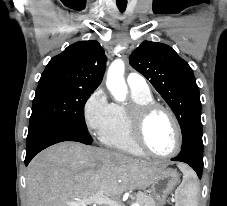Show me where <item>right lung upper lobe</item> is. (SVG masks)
<instances>
[{"label":"right lung upper lobe","mask_w":227,"mask_h":206,"mask_svg":"<svg viewBox=\"0 0 227 206\" xmlns=\"http://www.w3.org/2000/svg\"><path fill=\"white\" fill-rule=\"evenodd\" d=\"M106 61L104 50L97 41L76 42L50 60L38 84L94 91L102 81Z\"/></svg>","instance_id":"right-lung-upper-lobe-1"}]
</instances>
